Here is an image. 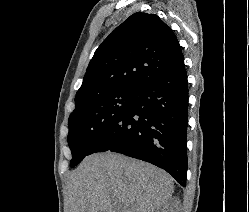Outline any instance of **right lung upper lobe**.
Wrapping results in <instances>:
<instances>
[{
    "label": "right lung upper lobe",
    "mask_w": 249,
    "mask_h": 212,
    "mask_svg": "<svg viewBox=\"0 0 249 212\" xmlns=\"http://www.w3.org/2000/svg\"><path fill=\"white\" fill-rule=\"evenodd\" d=\"M183 60L179 42L168 25L157 15L134 13L96 50L75 104L111 92H137Z\"/></svg>",
    "instance_id": "cb5924a9"
}]
</instances>
